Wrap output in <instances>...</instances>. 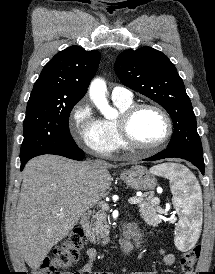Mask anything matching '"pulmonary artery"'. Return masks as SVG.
I'll list each match as a JSON object with an SVG mask.
<instances>
[{
    "instance_id": "1",
    "label": "pulmonary artery",
    "mask_w": 215,
    "mask_h": 274,
    "mask_svg": "<svg viewBox=\"0 0 215 274\" xmlns=\"http://www.w3.org/2000/svg\"><path fill=\"white\" fill-rule=\"evenodd\" d=\"M111 97L113 100L129 101L132 99V93L121 86H116L112 89Z\"/></svg>"
}]
</instances>
